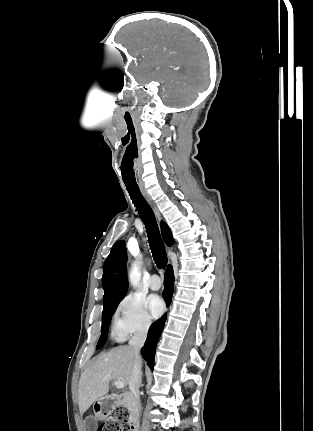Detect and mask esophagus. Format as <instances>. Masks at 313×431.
<instances>
[{"label":"esophagus","instance_id":"34e87169","mask_svg":"<svg viewBox=\"0 0 313 431\" xmlns=\"http://www.w3.org/2000/svg\"><path fill=\"white\" fill-rule=\"evenodd\" d=\"M141 193L144 196V198L146 199V201L148 202V204L151 206V208L153 209L157 219L160 221L162 219L161 214L156 206V204L154 203V201L152 200V198L150 197V195L147 193V191L145 189H141Z\"/></svg>","mask_w":313,"mask_h":431}]
</instances>
